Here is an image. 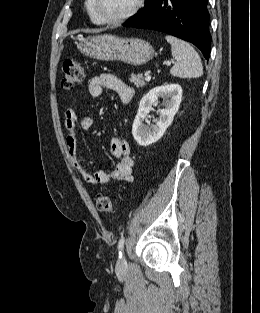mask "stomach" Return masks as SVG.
<instances>
[{
  "mask_svg": "<svg viewBox=\"0 0 260 313\" xmlns=\"http://www.w3.org/2000/svg\"><path fill=\"white\" fill-rule=\"evenodd\" d=\"M77 48L88 57L103 61L117 60L134 66L143 65L154 56V49L147 41L110 34L82 38Z\"/></svg>",
  "mask_w": 260,
  "mask_h": 313,
  "instance_id": "1",
  "label": "stomach"
}]
</instances>
